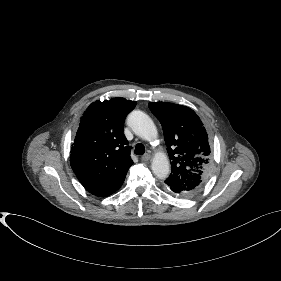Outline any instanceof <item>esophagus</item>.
I'll return each instance as SVG.
<instances>
[{"mask_svg": "<svg viewBox=\"0 0 281 281\" xmlns=\"http://www.w3.org/2000/svg\"><path fill=\"white\" fill-rule=\"evenodd\" d=\"M151 159V155L149 154V153H146V154H144L142 157H141V160L143 161V162H146V161H148V160H150Z\"/></svg>", "mask_w": 281, "mask_h": 281, "instance_id": "34e87169", "label": "esophagus"}]
</instances>
